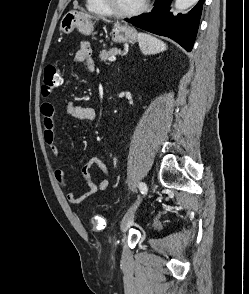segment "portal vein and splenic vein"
<instances>
[{"label": "portal vein and splenic vein", "instance_id": "obj_1", "mask_svg": "<svg viewBox=\"0 0 249 294\" xmlns=\"http://www.w3.org/2000/svg\"><path fill=\"white\" fill-rule=\"evenodd\" d=\"M115 60H116V57H114V56H111V57L108 58V61H109V62H113V61H115Z\"/></svg>", "mask_w": 249, "mask_h": 294}]
</instances>
